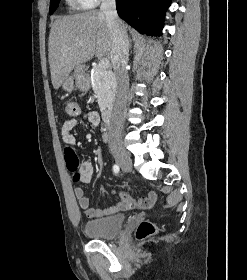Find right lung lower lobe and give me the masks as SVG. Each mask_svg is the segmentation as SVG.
Returning a JSON list of instances; mask_svg holds the SVG:
<instances>
[{"label":"right lung lower lobe","instance_id":"1","mask_svg":"<svg viewBox=\"0 0 247 280\" xmlns=\"http://www.w3.org/2000/svg\"><path fill=\"white\" fill-rule=\"evenodd\" d=\"M119 16L142 34L160 36L169 0H116Z\"/></svg>","mask_w":247,"mask_h":280}]
</instances>
